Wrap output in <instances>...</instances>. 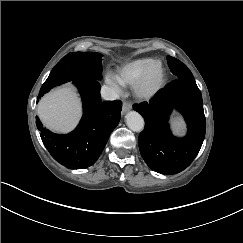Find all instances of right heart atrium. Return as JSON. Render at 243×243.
Listing matches in <instances>:
<instances>
[{
  "label": "right heart atrium",
  "instance_id": "1",
  "mask_svg": "<svg viewBox=\"0 0 243 243\" xmlns=\"http://www.w3.org/2000/svg\"><path fill=\"white\" fill-rule=\"evenodd\" d=\"M102 80L111 89L114 98L119 99L123 96V86L113 69H106Z\"/></svg>",
  "mask_w": 243,
  "mask_h": 243
}]
</instances>
